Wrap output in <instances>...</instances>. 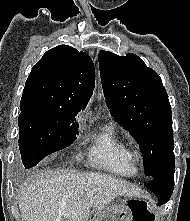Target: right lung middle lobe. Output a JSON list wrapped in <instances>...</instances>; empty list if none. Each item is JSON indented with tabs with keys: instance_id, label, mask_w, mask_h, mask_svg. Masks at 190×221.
I'll return each instance as SVG.
<instances>
[{
	"instance_id": "right-lung-middle-lobe-1",
	"label": "right lung middle lobe",
	"mask_w": 190,
	"mask_h": 221,
	"mask_svg": "<svg viewBox=\"0 0 190 221\" xmlns=\"http://www.w3.org/2000/svg\"><path fill=\"white\" fill-rule=\"evenodd\" d=\"M76 113L30 110L19 115V149L26 169L71 145L78 134Z\"/></svg>"
}]
</instances>
